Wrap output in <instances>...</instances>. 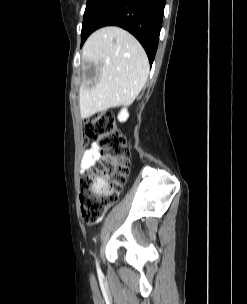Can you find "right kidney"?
Instances as JSON below:
<instances>
[{
    "instance_id": "right-kidney-1",
    "label": "right kidney",
    "mask_w": 247,
    "mask_h": 304,
    "mask_svg": "<svg viewBox=\"0 0 247 304\" xmlns=\"http://www.w3.org/2000/svg\"><path fill=\"white\" fill-rule=\"evenodd\" d=\"M129 117V113L126 108L122 109L118 115V120L120 122H125Z\"/></svg>"
}]
</instances>
